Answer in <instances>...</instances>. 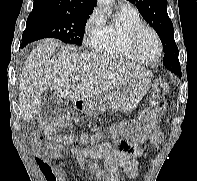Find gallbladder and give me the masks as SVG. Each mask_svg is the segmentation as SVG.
<instances>
[{
	"instance_id": "obj_1",
	"label": "gallbladder",
	"mask_w": 197,
	"mask_h": 181,
	"mask_svg": "<svg viewBox=\"0 0 197 181\" xmlns=\"http://www.w3.org/2000/svg\"><path fill=\"white\" fill-rule=\"evenodd\" d=\"M58 98L56 94H52L51 92H46L43 96L42 101V111L43 112H49L50 109L53 107V102Z\"/></svg>"
}]
</instances>
